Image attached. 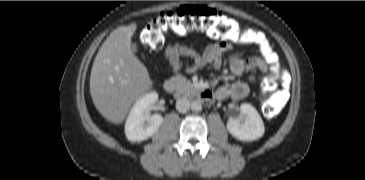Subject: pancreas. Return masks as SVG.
Returning <instances> with one entry per match:
<instances>
[{
    "label": "pancreas",
    "mask_w": 365,
    "mask_h": 180,
    "mask_svg": "<svg viewBox=\"0 0 365 180\" xmlns=\"http://www.w3.org/2000/svg\"><path fill=\"white\" fill-rule=\"evenodd\" d=\"M171 81L175 83L177 93L191 95L196 92V88L193 84L183 76L176 75L171 78Z\"/></svg>",
    "instance_id": "cf45deb5"
}]
</instances>
